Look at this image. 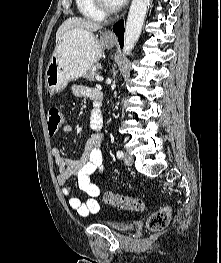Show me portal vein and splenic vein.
<instances>
[{
    "instance_id": "18ae733b",
    "label": "portal vein and splenic vein",
    "mask_w": 221,
    "mask_h": 263,
    "mask_svg": "<svg viewBox=\"0 0 221 263\" xmlns=\"http://www.w3.org/2000/svg\"><path fill=\"white\" fill-rule=\"evenodd\" d=\"M95 79H96L97 81H102L104 78H103L102 76L97 75V76L95 77Z\"/></svg>"
}]
</instances>
